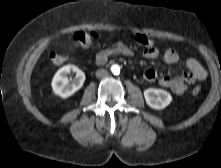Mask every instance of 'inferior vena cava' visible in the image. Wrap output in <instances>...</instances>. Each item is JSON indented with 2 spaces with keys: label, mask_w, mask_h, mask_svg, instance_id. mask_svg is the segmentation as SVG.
Segmentation results:
<instances>
[{
  "label": "inferior vena cava",
  "mask_w": 221,
  "mask_h": 168,
  "mask_svg": "<svg viewBox=\"0 0 221 168\" xmlns=\"http://www.w3.org/2000/svg\"><path fill=\"white\" fill-rule=\"evenodd\" d=\"M108 76V71L105 69H99L96 71V77L97 78H105Z\"/></svg>",
  "instance_id": "obj_1"
}]
</instances>
